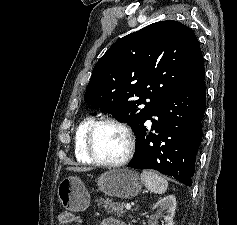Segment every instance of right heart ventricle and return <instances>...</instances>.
<instances>
[{"mask_svg":"<svg viewBox=\"0 0 237 225\" xmlns=\"http://www.w3.org/2000/svg\"><path fill=\"white\" fill-rule=\"evenodd\" d=\"M93 122V117H86L80 121L75 130L74 155L78 161L83 163H92V160L89 158L85 151V137L89 127Z\"/></svg>","mask_w":237,"mask_h":225,"instance_id":"obj_1","label":"right heart ventricle"}]
</instances>
